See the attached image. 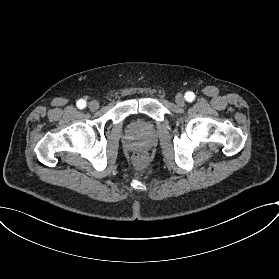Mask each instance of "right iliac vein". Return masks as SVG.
<instances>
[{
	"instance_id": "right-iliac-vein-1",
	"label": "right iliac vein",
	"mask_w": 279,
	"mask_h": 279,
	"mask_svg": "<svg viewBox=\"0 0 279 279\" xmlns=\"http://www.w3.org/2000/svg\"><path fill=\"white\" fill-rule=\"evenodd\" d=\"M88 108L91 111H95L99 108V103L96 100H92L88 103Z\"/></svg>"
}]
</instances>
